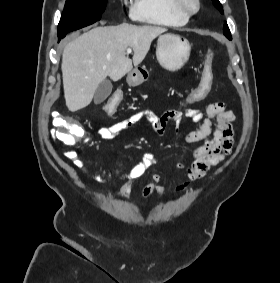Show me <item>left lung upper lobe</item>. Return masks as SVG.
<instances>
[{
  "label": "left lung upper lobe",
  "instance_id": "5c2ea615",
  "mask_svg": "<svg viewBox=\"0 0 280 283\" xmlns=\"http://www.w3.org/2000/svg\"><path fill=\"white\" fill-rule=\"evenodd\" d=\"M212 2L214 4V6L223 14V8H222V5L220 4L219 0H212ZM223 32H224V34L227 38H231V36H230L231 34H230L227 23L224 24Z\"/></svg>",
  "mask_w": 280,
  "mask_h": 283
}]
</instances>
